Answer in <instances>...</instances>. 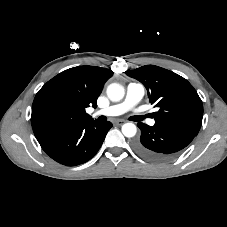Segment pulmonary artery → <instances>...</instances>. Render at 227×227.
Returning <instances> with one entry per match:
<instances>
[{"instance_id": "e3ab8cb5", "label": "pulmonary artery", "mask_w": 227, "mask_h": 227, "mask_svg": "<svg viewBox=\"0 0 227 227\" xmlns=\"http://www.w3.org/2000/svg\"><path fill=\"white\" fill-rule=\"evenodd\" d=\"M145 94V88L142 84L131 82L126 88V96L120 103L111 105L107 108L94 112V116H119L128 111L136 110L137 105ZM150 125L154 124V120L148 121Z\"/></svg>"}]
</instances>
